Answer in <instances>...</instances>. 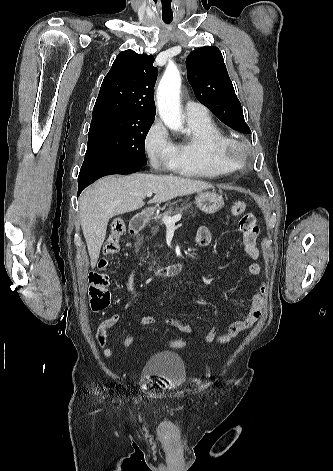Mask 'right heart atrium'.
Masks as SVG:
<instances>
[{
    "label": "right heart atrium",
    "instance_id": "d8ad5b80",
    "mask_svg": "<svg viewBox=\"0 0 333 471\" xmlns=\"http://www.w3.org/2000/svg\"><path fill=\"white\" fill-rule=\"evenodd\" d=\"M174 146L164 124L160 120H155L144 137V149L151 165L157 169L170 166Z\"/></svg>",
    "mask_w": 333,
    "mask_h": 471
}]
</instances>
